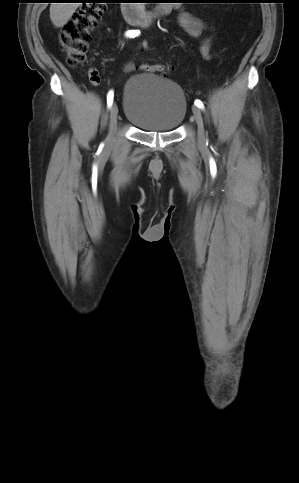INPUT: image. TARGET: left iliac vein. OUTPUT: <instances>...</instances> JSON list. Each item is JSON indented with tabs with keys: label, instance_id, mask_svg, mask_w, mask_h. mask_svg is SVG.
<instances>
[{
	"label": "left iliac vein",
	"instance_id": "left-iliac-vein-1",
	"mask_svg": "<svg viewBox=\"0 0 299 483\" xmlns=\"http://www.w3.org/2000/svg\"><path fill=\"white\" fill-rule=\"evenodd\" d=\"M192 112L197 124V136H198V141L199 143H204L205 142V129H204V123H203V118H202V113L199 107L193 106L192 107Z\"/></svg>",
	"mask_w": 299,
	"mask_h": 483
}]
</instances>
